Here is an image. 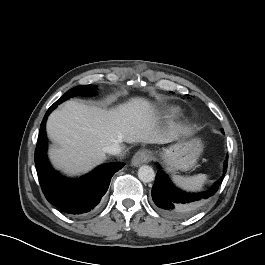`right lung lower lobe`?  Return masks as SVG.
<instances>
[{
  "label": "right lung lower lobe",
  "instance_id": "98d812e1",
  "mask_svg": "<svg viewBox=\"0 0 265 265\" xmlns=\"http://www.w3.org/2000/svg\"><path fill=\"white\" fill-rule=\"evenodd\" d=\"M57 107L54 103L46 112L40 126L35 150V165L42 191L46 199L59 210L71 215H85L98 205L108 190L111 177L124 163L114 162L99 166L88 175L69 180L51 167L47 155V137L45 131L48 115Z\"/></svg>",
  "mask_w": 265,
  "mask_h": 265
}]
</instances>
